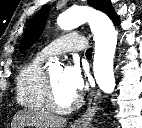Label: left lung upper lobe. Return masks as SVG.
Returning <instances> with one entry per match:
<instances>
[{"label":"left lung upper lobe","mask_w":142,"mask_h":128,"mask_svg":"<svg viewBox=\"0 0 142 128\" xmlns=\"http://www.w3.org/2000/svg\"><path fill=\"white\" fill-rule=\"evenodd\" d=\"M87 2L92 7L105 12L115 24L119 23V18L114 12L110 0H88ZM48 14L49 6L46 5L34 15L21 40V51L28 49L40 37L44 29Z\"/></svg>","instance_id":"left-lung-upper-lobe-1"}]
</instances>
